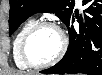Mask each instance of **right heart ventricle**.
<instances>
[{"label": "right heart ventricle", "instance_id": "1", "mask_svg": "<svg viewBox=\"0 0 102 75\" xmlns=\"http://www.w3.org/2000/svg\"><path fill=\"white\" fill-rule=\"evenodd\" d=\"M36 22L35 18L29 17L27 18L22 25L20 26L19 30L17 31L16 35L13 39V59L15 61V64L19 68H27L28 65L24 61L22 53H21V42L27 31L30 29V27Z\"/></svg>", "mask_w": 102, "mask_h": 75}]
</instances>
